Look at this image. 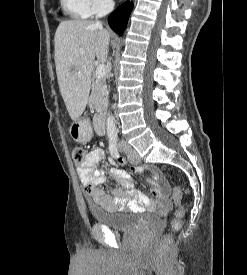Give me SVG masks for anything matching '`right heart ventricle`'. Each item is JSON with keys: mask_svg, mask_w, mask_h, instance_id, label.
Returning a JSON list of instances; mask_svg holds the SVG:
<instances>
[{"mask_svg": "<svg viewBox=\"0 0 247 275\" xmlns=\"http://www.w3.org/2000/svg\"><path fill=\"white\" fill-rule=\"evenodd\" d=\"M63 11L75 19H88L93 16L91 0H60Z\"/></svg>", "mask_w": 247, "mask_h": 275, "instance_id": "right-heart-ventricle-1", "label": "right heart ventricle"}]
</instances>
